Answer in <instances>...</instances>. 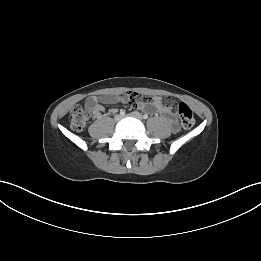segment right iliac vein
<instances>
[{"label": "right iliac vein", "instance_id": "63e3f726", "mask_svg": "<svg viewBox=\"0 0 261 261\" xmlns=\"http://www.w3.org/2000/svg\"><path fill=\"white\" fill-rule=\"evenodd\" d=\"M114 119H115L116 122H119L122 119V116L116 115Z\"/></svg>", "mask_w": 261, "mask_h": 261}]
</instances>
